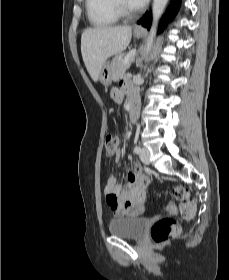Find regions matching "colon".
<instances>
[{
  "instance_id": "colon-1",
  "label": "colon",
  "mask_w": 229,
  "mask_h": 280,
  "mask_svg": "<svg viewBox=\"0 0 229 280\" xmlns=\"http://www.w3.org/2000/svg\"><path fill=\"white\" fill-rule=\"evenodd\" d=\"M118 141L119 137L116 134H108L105 137L104 152L107 157H111L113 155ZM173 194L175 198L180 201L181 215L185 218H193L197 214V204L189 197L188 191L182 186H177L173 189ZM180 229V225L175 219L160 218L153 224L150 235L154 242L161 244L178 234Z\"/></svg>"
}]
</instances>
